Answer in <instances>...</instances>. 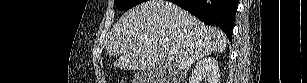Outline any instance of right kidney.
Instances as JSON below:
<instances>
[{
	"label": "right kidney",
	"mask_w": 307,
	"mask_h": 83,
	"mask_svg": "<svg viewBox=\"0 0 307 83\" xmlns=\"http://www.w3.org/2000/svg\"><path fill=\"white\" fill-rule=\"evenodd\" d=\"M208 83H220V70L218 62L213 57L199 60L189 78V83H201V79Z\"/></svg>",
	"instance_id": "obj_1"
}]
</instances>
